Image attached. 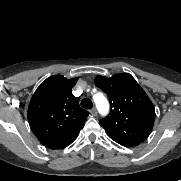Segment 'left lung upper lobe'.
<instances>
[{"label": "left lung upper lobe", "instance_id": "obj_1", "mask_svg": "<svg viewBox=\"0 0 181 181\" xmlns=\"http://www.w3.org/2000/svg\"><path fill=\"white\" fill-rule=\"evenodd\" d=\"M95 85L109 97V116L99 121L106 134L125 147H134L150 135L155 109L142 87L128 73L116 74L110 78L98 75Z\"/></svg>", "mask_w": 181, "mask_h": 181}]
</instances>
